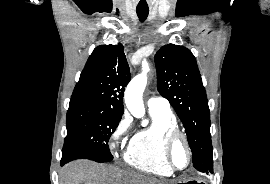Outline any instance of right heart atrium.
<instances>
[{
    "label": "right heart atrium",
    "mask_w": 270,
    "mask_h": 184,
    "mask_svg": "<svg viewBox=\"0 0 270 184\" xmlns=\"http://www.w3.org/2000/svg\"><path fill=\"white\" fill-rule=\"evenodd\" d=\"M131 126L132 119L130 115L128 113H124L111 133L109 141V147L111 150L117 149L123 143L130 132Z\"/></svg>",
    "instance_id": "1"
}]
</instances>
